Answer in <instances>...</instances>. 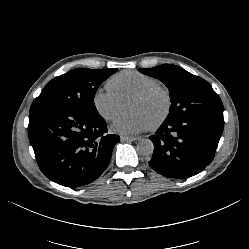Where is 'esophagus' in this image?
Instances as JSON below:
<instances>
[{"mask_svg":"<svg viewBox=\"0 0 249 249\" xmlns=\"http://www.w3.org/2000/svg\"><path fill=\"white\" fill-rule=\"evenodd\" d=\"M135 140H136L135 137L121 136V141L123 143L133 142Z\"/></svg>","mask_w":249,"mask_h":249,"instance_id":"esophagus-1","label":"esophagus"}]
</instances>
